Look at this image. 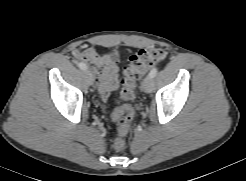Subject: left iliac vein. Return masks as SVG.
<instances>
[{
  "label": "left iliac vein",
  "instance_id": "left-iliac-vein-1",
  "mask_svg": "<svg viewBox=\"0 0 246 181\" xmlns=\"http://www.w3.org/2000/svg\"><path fill=\"white\" fill-rule=\"evenodd\" d=\"M152 88H153V77L148 75L144 78L142 85H141V89L144 92L149 93L152 91Z\"/></svg>",
  "mask_w": 246,
  "mask_h": 181
}]
</instances>
